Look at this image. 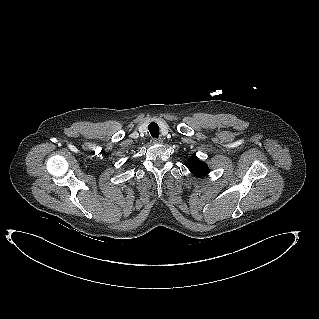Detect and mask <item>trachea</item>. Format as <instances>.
I'll return each instance as SVG.
<instances>
[{
  "label": "trachea",
  "mask_w": 319,
  "mask_h": 319,
  "mask_svg": "<svg viewBox=\"0 0 319 319\" xmlns=\"http://www.w3.org/2000/svg\"><path fill=\"white\" fill-rule=\"evenodd\" d=\"M148 130H149V132H150L152 137H154V138H158L159 137V126H158L157 123L151 122L148 125Z\"/></svg>",
  "instance_id": "obj_1"
}]
</instances>
